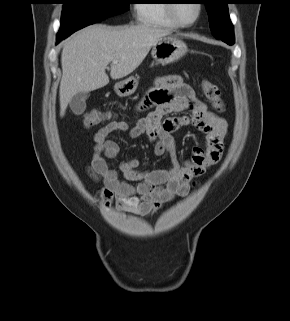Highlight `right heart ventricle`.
<instances>
[{"label":"right heart ventricle","instance_id":"right-heart-ventricle-1","mask_svg":"<svg viewBox=\"0 0 290 321\" xmlns=\"http://www.w3.org/2000/svg\"><path fill=\"white\" fill-rule=\"evenodd\" d=\"M169 0H142L136 5V19L139 23L150 26L177 27L171 19L167 2Z\"/></svg>","mask_w":290,"mask_h":321}]
</instances>
